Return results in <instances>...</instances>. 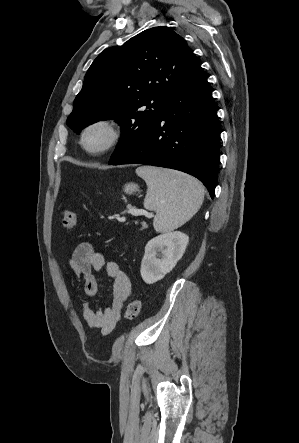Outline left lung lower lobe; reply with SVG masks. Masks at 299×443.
<instances>
[{
  "label": "left lung lower lobe",
  "instance_id": "obj_1",
  "mask_svg": "<svg viewBox=\"0 0 299 443\" xmlns=\"http://www.w3.org/2000/svg\"><path fill=\"white\" fill-rule=\"evenodd\" d=\"M220 130L200 65L174 90L155 124L113 162L176 169L198 178L211 198L217 182Z\"/></svg>",
  "mask_w": 299,
  "mask_h": 443
}]
</instances>
